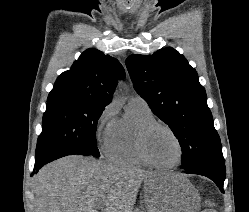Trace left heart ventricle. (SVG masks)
<instances>
[{
	"mask_svg": "<svg viewBox=\"0 0 249 212\" xmlns=\"http://www.w3.org/2000/svg\"><path fill=\"white\" fill-rule=\"evenodd\" d=\"M152 158L159 164L171 165L179 158V147L175 139L166 131L156 130L148 143Z\"/></svg>",
	"mask_w": 249,
	"mask_h": 212,
	"instance_id": "b2bd125f",
	"label": "left heart ventricle"
}]
</instances>
